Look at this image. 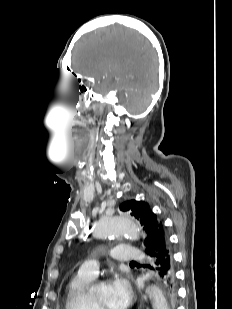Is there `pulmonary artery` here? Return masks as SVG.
Segmentation results:
<instances>
[{"label": "pulmonary artery", "instance_id": "e3ab8cb5", "mask_svg": "<svg viewBox=\"0 0 232 309\" xmlns=\"http://www.w3.org/2000/svg\"><path fill=\"white\" fill-rule=\"evenodd\" d=\"M110 255L111 258H113L117 262H123V263H127L131 260H138L143 258L144 256V254L141 251L127 245L115 246L111 250ZM98 268H99L98 261L95 258H91L85 261L80 266L78 273L84 276L94 278L97 275Z\"/></svg>", "mask_w": 232, "mask_h": 309}]
</instances>
